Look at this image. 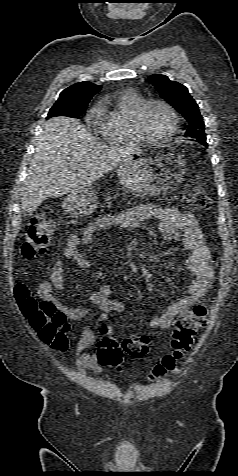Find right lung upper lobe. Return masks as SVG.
<instances>
[{
    "label": "right lung upper lobe",
    "mask_w": 238,
    "mask_h": 476,
    "mask_svg": "<svg viewBox=\"0 0 238 476\" xmlns=\"http://www.w3.org/2000/svg\"><path fill=\"white\" fill-rule=\"evenodd\" d=\"M101 86L89 81L78 82L66 88L60 93L59 99H68L75 103L87 104L90 99L99 92Z\"/></svg>",
    "instance_id": "cb5924a9"
}]
</instances>
